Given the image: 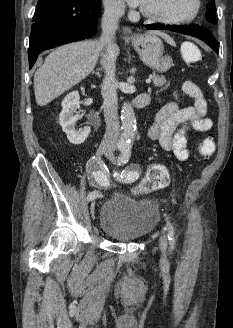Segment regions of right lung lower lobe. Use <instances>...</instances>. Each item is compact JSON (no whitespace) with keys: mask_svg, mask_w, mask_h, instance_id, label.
<instances>
[{"mask_svg":"<svg viewBox=\"0 0 233 328\" xmlns=\"http://www.w3.org/2000/svg\"><path fill=\"white\" fill-rule=\"evenodd\" d=\"M99 0H38L29 42V68L38 54L96 31Z\"/></svg>","mask_w":233,"mask_h":328,"instance_id":"obj_1","label":"right lung lower lobe"}]
</instances>
